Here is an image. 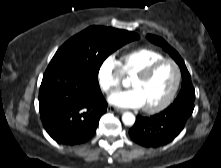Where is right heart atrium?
Here are the masks:
<instances>
[{
	"mask_svg": "<svg viewBox=\"0 0 221 168\" xmlns=\"http://www.w3.org/2000/svg\"><path fill=\"white\" fill-rule=\"evenodd\" d=\"M123 73L119 61L113 56H107L100 64L97 79L101 90L111 94L117 91L122 82Z\"/></svg>",
	"mask_w": 221,
	"mask_h": 168,
	"instance_id": "right-heart-atrium-1",
	"label": "right heart atrium"
}]
</instances>
